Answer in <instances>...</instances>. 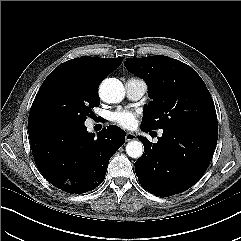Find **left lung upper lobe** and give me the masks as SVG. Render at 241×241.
<instances>
[{"label":"left lung upper lobe","mask_w":241,"mask_h":241,"mask_svg":"<svg viewBox=\"0 0 241 241\" xmlns=\"http://www.w3.org/2000/svg\"><path fill=\"white\" fill-rule=\"evenodd\" d=\"M126 68L148 84L152 101L141 128H199L218 132L214 102L204 81L185 63L163 55L127 58Z\"/></svg>","instance_id":"5c2ea615"}]
</instances>
